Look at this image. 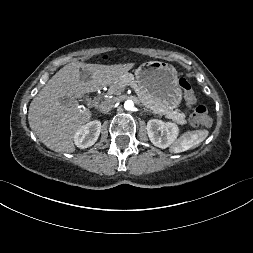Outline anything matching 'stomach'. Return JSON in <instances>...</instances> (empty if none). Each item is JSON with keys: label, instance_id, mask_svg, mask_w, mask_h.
<instances>
[{"label": "stomach", "instance_id": "stomach-1", "mask_svg": "<svg viewBox=\"0 0 253 253\" xmlns=\"http://www.w3.org/2000/svg\"><path fill=\"white\" fill-rule=\"evenodd\" d=\"M136 82L145 93L157 99L168 109L177 108L182 101L178 74L171 64L150 61L135 71Z\"/></svg>", "mask_w": 253, "mask_h": 253}]
</instances>
